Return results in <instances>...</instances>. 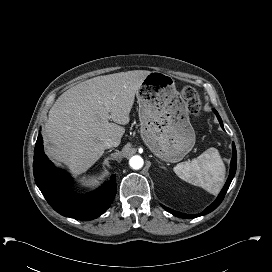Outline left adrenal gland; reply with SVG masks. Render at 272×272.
I'll return each instance as SVG.
<instances>
[{
    "label": "left adrenal gland",
    "instance_id": "1",
    "mask_svg": "<svg viewBox=\"0 0 272 272\" xmlns=\"http://www.w3.org/2000/svg\"><path fill=\"white\" fill-rule=\"evenodd\" d=\"M158 163H160L159 161H158ZM161 168H163V169H166L164 166H160Z\"/></svg>",
    "mask_w": 272,
    "mask_h": 272
}]
</instances>
